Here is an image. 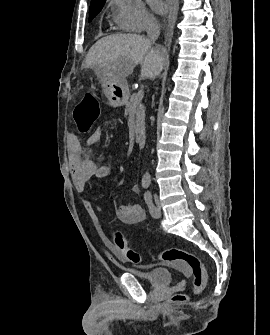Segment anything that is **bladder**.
Masks as SVG:
<instances>
[{"label": "bladder", "instance_id": "obj_1", "mask_svg": "<svg viewBox=\"0 0 270 335\" xmlns=\"http://www.w3.org/2000/svg\"><path fill=\"white\" fill-rule=\"evenodd\" d=\"M133 274H136L140 281L145 282L146 284H152L156 286H170L172 281V276L174 272L167 270L165 268H158L151 271L137 272L129 271Z\"/></svg>", "mask_w": 270, "mask_h": 335}]
</instances>
